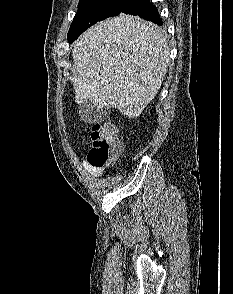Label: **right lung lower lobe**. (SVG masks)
Instances as JSON below:
<instances>
[{
	"instance_id": "1",
	"label": "right lung lower lobe",
	"mask_w": 233,
	"mask_h": 294,
	"mask_svg": "<svg viewBox=\"0 0 233 294\" xmlns=\"http://www.w3.org/2000/svg\"><path fill=\"white\" fill-rule=\"evenodd\" d=\"M122 13L137 15L145 20H149L158 25H163V21L160 18L156 6H154L149 0H130L122 10ZM77 38H70L68 41L69 43H72Z\"/></svg>"
}]
</instances>
